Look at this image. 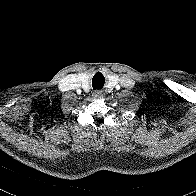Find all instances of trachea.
<instances>
[{"mask_svg":"<svg viewBox=\"0 0 196 196\" xmlns=\"http://www.w3.org/2000/svg\"><path fill=\"white\" fill-rule=\"evenodd\" d=\"M105 83V78L101 73H96L92 78L93 89H102Z\"/></svg>","mask_w":196,"mask_h":196,"instance_id":"obj_1","label":"trachea"}]
</instances>
